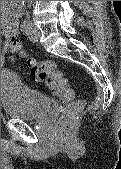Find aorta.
Returning <instances> with one entry per match:
<instances>
[{"label":"aorta","instance_id":"obj_1","mask_svg":"<svg viewBox=\"0 0 121 169\" xmlns=\"http://www.w3.org/2000/svg\"><path fill=\"white\" fill-rule=\"evenodd\" d=\"M22 1H5L3 9L14 12L20 9Z\"/></svg>","mask_w":121,"mask_h":169}]
</instances>
